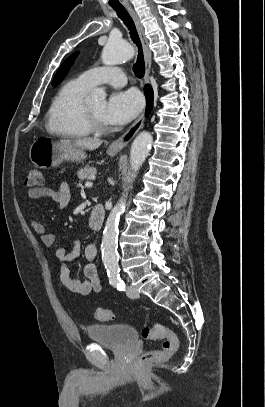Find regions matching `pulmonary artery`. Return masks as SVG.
I'll use <instances>...</instances> for the list:
<instances>
[{
	"mask_svg": "<svg viewBox=\"0 0 265 407\" xmlns=\"http://www.w3.org/2000/svg\"><path fill=\"white\" fill-rule=\"evenodd\" d=\"M78 79L86 86L92 88L99 84H109L121 87L126 84V76L120 68L102 66L84 71Z\"/></svg>",
	"mask_w": 265,
	"mask_h": 407,
	"instance_id": "pulmonary-artery-1",
	"label": "pulmonary artery"
}]
</instances>
